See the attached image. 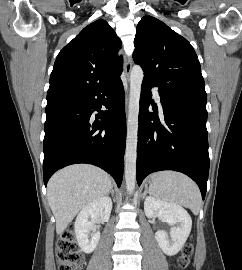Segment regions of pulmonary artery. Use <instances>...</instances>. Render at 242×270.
<instances>
[{"label": "pulmonary artery", "mask_w": 242, "mask_h": 270, "mask_svg": "<svg viewBox=\"0 0 242 270\" xmlns=\"http://www.w3.org/2000/svg\"><path fill=\"white\" fill-rule=\"evenodd\" d=\"M152 91H153V95L155 97V100L157 101L159 107L161 108V99H160V96H159V92H158V88L157 87H153L152 88Z\"/></svg>", "instance_id": "pulmonary-artery-1"}]
</instances>
